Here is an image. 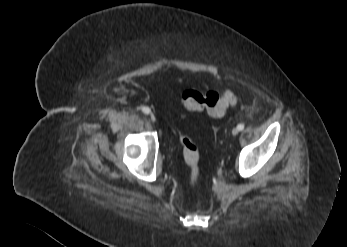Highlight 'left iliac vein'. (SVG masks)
Returning <instances> with one entry per match:
<instances>
[{
  "mask_svg": "<svg viewBox=\"0 0 347 247\" xmlns=\"http://www.w3.org/2000/svg\"><path fill=\"white\" fill-rule=\"evenodd\" d=\"M239 133V130L237 128H234L232 130V135L236 136Z\"/></svg>",
  "mask_w": 347,
  "mask_h": 247,
  "instance_id": "1",
  "label": "left iliac vein"
}]
</instances>
